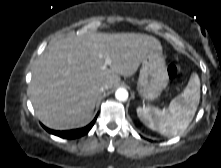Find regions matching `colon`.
Listing matches in <instances>:
<instances>
[{"mask_svg":"<svg viewBox=\"0 0 221 168\" xmlns=\"http://www.w3.org/2000/svg\"><path fill=\"white\" fill-rule=\"evenodd\" d=\"M178 73H179V68L176 65L170 64L167 67V74L170 79H175Z\"/></svg>","mask_w":221,"mask_h":168,"instance_id":"5ec220e1","label":"colon"}]
</instances>
